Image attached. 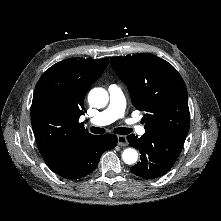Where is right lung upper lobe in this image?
Returning a JSON list of instances; mask_svg holds the SVG:
<instances>
[{
	"label": "right lung upper lobe",
	"mask_w": 221,
	"mask_h": 221,
	"mask_svg": "<svg viewBox=\"0 0 221 221\" xmlns=\"http://www.w3.org/2000/svg\"><path fill=\"white\" fill-rule=\"evenodd\" d=\"M108 58L66 59L51 66L35 87L31 123L39 152L49 167L59 165L93 137L79 122L83 100L102 75Z\"/></svg>",
	"instance_id": "cb5924a9"
}]
</instances>
